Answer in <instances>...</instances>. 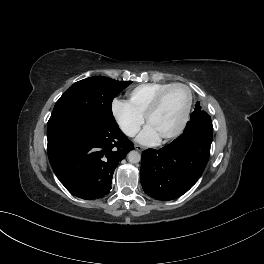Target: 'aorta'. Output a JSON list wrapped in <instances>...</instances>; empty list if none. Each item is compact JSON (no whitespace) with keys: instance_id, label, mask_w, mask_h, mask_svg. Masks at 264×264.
<instances>
[{"instance_id":"762f6f07","label":"aorta","mask_w":264,"mask_h":264,"mask_svg":"<svg viewBox=\"0 0 264 264\" xmlns=\"http://www.w3.org/2000/svg\"><path fill=\"white\" fill-rule=\"evenodd\" d=\"M127 157L130 163H138L141 160V155L137 151H130Z\"/></svg>"}]
</instances>
